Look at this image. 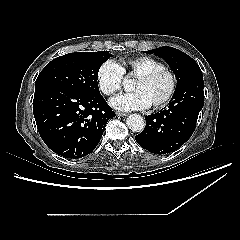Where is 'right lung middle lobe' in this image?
Listing matches in <instances>:
<instances>
[{
  "instance_id": "right-lung-middle-lobe-1",
  "label": "right lung middle lobe",
  "mask_w": 240,
  "mask_h": 240,
  "mask_svg": "<svg viewBox=\"0 0 240 240\" xmlns=\"http://www.w3.org/2000/svg\"><path fill=\"white\" fill-rule=\"evenodd\" d=\"M111 57L107 51L75 52L60 56L39 74L35 87L62 86L86 94H99L100 66Z\"/></svg>"
}]
</instances>
